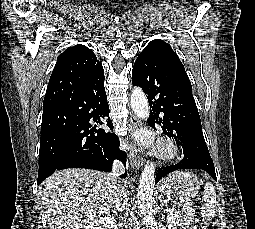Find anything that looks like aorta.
Instances as JSON below:
<instances>
[{"mask_svg":"<svg viewBox=\"0 0 255 229\" xmlns=\"http://www.w3.org/2000/svg\"><path fill=\"white\" fill-rule=\"evenodd\" d=\"M131 107L135 115L141 119L149 116V104L145 93L140 87H135L131 93ZM155 184V166L147 162L139 180L137 205L139 216L146 229H158L153 214V189Z\"/></svg>","mask_w":255,"mask_h":229,"instance_id":"762f6f07","label":"aorta"}]
</instances>
